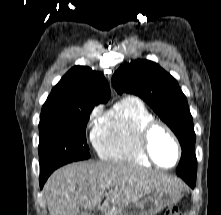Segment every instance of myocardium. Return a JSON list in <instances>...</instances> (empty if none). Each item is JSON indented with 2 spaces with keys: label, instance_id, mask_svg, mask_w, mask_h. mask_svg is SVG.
<instances>
[{
  "label": "myocardium",
  "instance_id": "1",
  "mask_svg": "<svg viewBox=\"0 0 221 215\" xmlns=\"http://www.w3.org/2000/svg\"><path fill=\"white\" fill-rule=\"evenodd\" d=\"M156 129L163 130L171 138V140L176 148V159H175L174 163L169 166H164V165H161L160 163H158L157 160L155 159V157L153 156L152 151H151L150 139H151L153 132ZM138 142H139V147H140L142 153L149 160V162L159 168L171 169V168L175 167L181 159L182 150H181V146H180L178 138L176 137V135L172 131V129L168 125H166L165 123H163L161 121L152 120V121L148 122L141 129V131L139 133V137H138Z\"/></svg>",
  "mask_w": 221,
  "mask_h": 215
}]
</instances>
